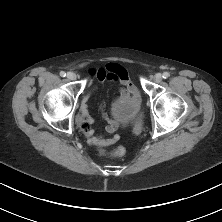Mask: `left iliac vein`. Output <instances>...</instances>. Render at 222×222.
<instances>
[{
    "instance_id": "left-iliac-vein-1",
    "label": "left iliac vein",
    "mask_w": 222,
    "mask_h": 222,
    "mask_svg": "<svg viewBox=\"0 0 222 222\" xmlns=\"http://www.w3.org/2000/svg\"><path fill=\"white\" fill-rule=\"evenodd\" d=\"M162 80V75L160 73H157L155 76H154V81L159 83L161 82Z\"/></svg>"
}]
</instances>
